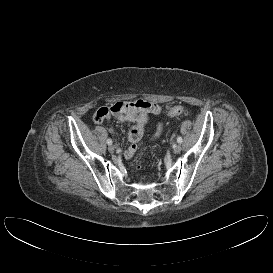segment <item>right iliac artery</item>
I'll list each match as a JSON object with an SVG mask.
<instances>
[{"mask_svg":"<svg viewBox=\"0 0 273 273\" xmlns=\"http://www.w3.org/2000/svg\"><path fill=\"white\" fill-rule=\"evenodd\" d=\"M107 144H108V145H111V144H112V140H111V139H108V140H107Z\"/></svg>","mask_w":273,"mask_h":273,"instance_id":"right-iliac-artery-1","label":"right iliac artery"}]
</instances>
